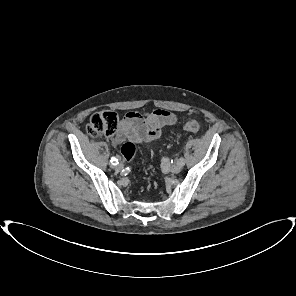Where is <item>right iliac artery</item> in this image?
<instances>
[{
	"mask_svg": "<svg viewBox=\"0 0 296 296\" xmlns=\"http://www.w3.org/2000/svg\"><path fill=\"white\" fill-rule=\"evenodd\" d=\"M111 164L114 165V166L117 165L118 164V159L116 157H113L111 159Z\"/></svg>",
	"mask_w": 296,
	"mask_h": 296,
	"instance_id": "82829eb1",
	"label": "right iliac artery"
}]
</instances>
